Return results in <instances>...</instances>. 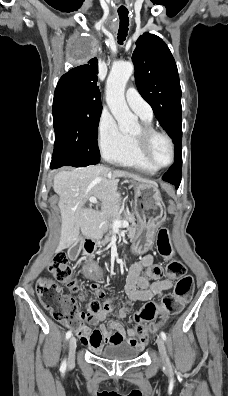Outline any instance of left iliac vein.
<instances>
[{"label":"left iliac vein","instance_id":"left-iliac-vein-1","mask_svg":"<svg viewBox=\"0 0 228 396\" xmlns=\"http://www.w3.org/2000/svg\"><path fill=\"white\" fill-rule=\"evenodd\" d=\"M156 343L158 345V350H159L161 362L164 363V364H167L168 363V357H167L166 348H165V344H164V341H163L162 337L157 336Z\"/></svg>","mask_w":228,"mask_h":396}]
</instances>
